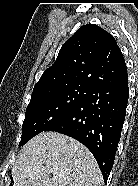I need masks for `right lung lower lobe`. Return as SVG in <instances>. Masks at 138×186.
<instances>
[{"label":"right lung lower lobe","mask_w":138,"mask_h":186,"mask_svg":"<svg viewBox=\"0 0 138 186\" xmlns=\"http://www.w3.org/2000/svg\"><path fill=\"white\" fill-rule=\"evenodd\" d=\"M128 95V81L119 86L89 88L83 102L46 131L65 134L84 144L106 181L120 140Z\"/></svg>","instance_id":"98d812e1"}]
</instances>
